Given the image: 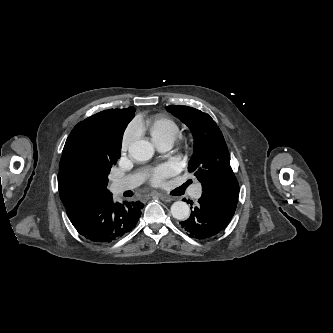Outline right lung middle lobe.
I'll return each mask as SVG.
<instances>
[{
	"instance_id": "dd1d6c3e",
	"label": "right lung middle lobe",
	"mask_w": 333,
	"mask_h": 333,
	"mask_svg": "<svg viewBox=\"0 0 333 333\" xmlns=\"http://www.w3.org/2000/svg\"><path fill=\"white\" fill-rule=\"evenodd\" d=\"M135 108L110 109L84 121L68 137L65 165L77 178L107 187L112 165L120 158L123 133L135 116Z\"/></svg>"
}]
</instances>
